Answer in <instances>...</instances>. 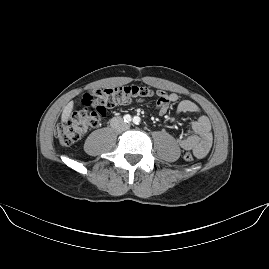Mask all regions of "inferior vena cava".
<instances>
[{
  "instance_id": "obj_1",
  "label": "inferior vena cava",
  "mask_w": 269,
  "mask_h": 269,
  "mask_svg": "<svg viewBox=\"0 0 269 269\" xmlns=\"http://www.w3.org/2000/svg\"><path fill=\"white\" fill-rule=\"evenodd\" d=\"M110 125L113 129L120 131V132H124L130 128V126L128 124L124 123L122 118H120V117H114L111 120Z\"/></svg>"
}]
</instances>
